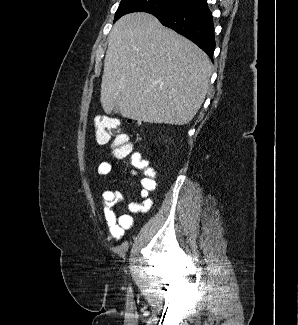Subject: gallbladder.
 Instances as JSON below:
<instances>
[{"instance_id": "gallbladder-1", "label": "gallbladder", "mask_w": 298, "mask_h": 325, "mask_svg": "<svg viewBox=\"0 0 298 325\" xmlns=\"http://www.w3.org/2000/svg\"><path fill=\"white\" fill-rule=\"evenodd\" d=\"M113 112L114 114H116V112H119L118 108H114Z\"/></svg>"}]
</instances>
